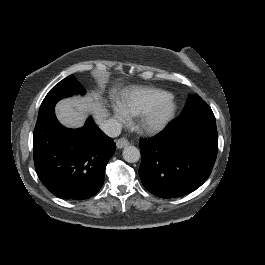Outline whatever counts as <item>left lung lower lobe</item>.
Returning a JSON list of instances; mask_svg holds the SVG:
<instances>
[{"label": "left lung lower lobe", "mask_w": 265, "mask_h": 265, "mask_svg": "<svg viewBox=\"0 0 265 265\" xmlns=\"http://www.w3.org/2000/svg\"><path fill=\"white\" fill-rule=\"evenodd\" d=\"M139 175L158 197L184 196L209 177L218 150L216 121L206 105L180 116L162 132L140 139Z\"/></svg>", "instance_id": "1"}]
</instances>
